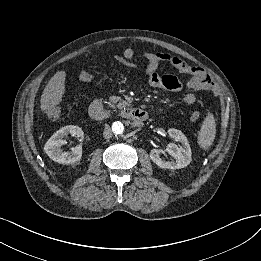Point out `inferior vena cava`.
I'll return each instance as SVG.
<instances>
[{"label":"inferior vena cava","instance_id":"602c4592","mask_svg":"<svg viewBox=\"0 0 261 261\" xmlns=\"http://www.w3.org/2000/svg\"><path fill=\"white\" fill-rule=\"evenodd\" d=\"M112 130H111V128L107 125L106 127H105V129H104V132H103V137L105 138V139H108V138H111L112 137Z\"/></svg>","mask_w":261,"mask_h":261}]
</instances>
